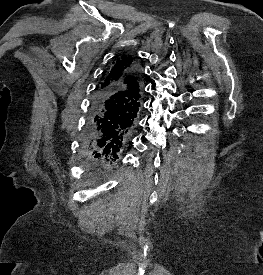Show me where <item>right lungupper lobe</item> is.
<instances>
[{
    "label": "right lung upper lobe",
    "instance_id": "obj_1",
    "mask_svg": "<svg viewBox=\"0 0 263 275\" xmlns=\"http://www.w3.org/2000/svg\"><path fill=\"white\" fill-rule=\"evenodd\" d=\"M134 67H136V62L131 55H122L114 60L97 87V92L112 88L128 90L129 96L126 105L130 109V113L137 114L141 101V86L139 79L130 73Z\"/></svg>",
    "mask_w": 263,
    "mask_h": 275
}]
</instances>
